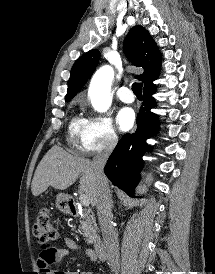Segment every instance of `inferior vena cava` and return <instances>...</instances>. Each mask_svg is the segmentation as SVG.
Wrapping results in <instances>:
<instances>
[{
  "label": "inferior vena cava",
  "mask_w": 215,
  "mask_h": 274,
  "mask_svg": "<svg viewBox=\"0 0 215 274\" xmlns=\"http://www.w3.org/2000/svg\"><path fill=\"white\" fill-rule=\"evenodd\" d=\"M116 144L117 137H110L104 150L96 154L92 160V167L97 180V215L107 253L108 265L113 271H118L120 268V255L117 235L112 225L111 192L104 174V166Z\"/></svg>",
  "instance_id": "inferior-vena-cava-1"
}]
</instances>
